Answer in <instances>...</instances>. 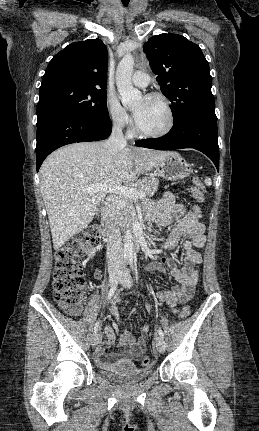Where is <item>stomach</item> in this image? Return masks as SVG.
Here are the masks:
<instances>
[{"mask_svg":"<svg viewBox=\"0 0 259 431\" xmlns=\"http://www.w3.org/2000/svg\"><path fill=\"white\" fill-rule=\"evenodd\" d=\"M156 172L168 181H176L190 175L191 165L179 153L170 152L156 167Z\"/></svg>","mask_w":259,"mask_h":431,"instance_id":"stomach-1","label":"stomach"}]
</instances>
